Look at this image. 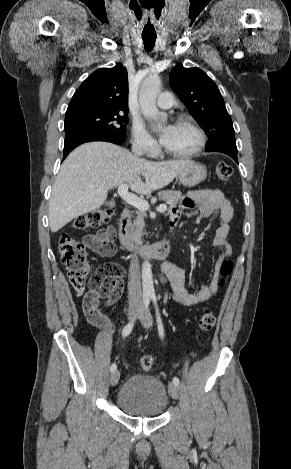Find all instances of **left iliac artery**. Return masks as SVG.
<instances>
[{"label":"left iliac artery","mask_w":291,"mask_h":469,"mask_svg":"<svg viewBox=\"0 0 291 469\" xmlns=\"http://www.w3.org/2000/svg\"><path fill=\"white\" fill-rule=\"evenodd\" d=\"M151 299H152V301H153V303H154V306H155V308H156V318H157V326H158L159 336H160V338L163 339V337H164V328H163L161 316H160V313H159V310H158L156 295H155V294H152V295H151ZM173 383L176 384V385H179V384H180L179 378H178V377H174V378H173Z\"/></svg>","instance_id":"1"}]
</instances>
